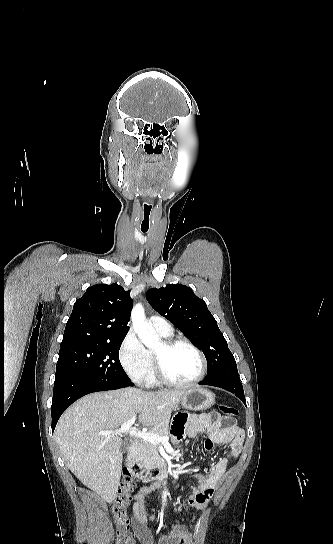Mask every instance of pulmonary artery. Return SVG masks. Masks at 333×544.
Listing matches in <instances>:
<instances>
[{"instance_id":"e3ab8cb5","label":"pulmonary artery","mask_w":333,"mask_h":544,"mask_svg":"<svg viewBox=\"0 0 333 544\" xmlns=\"http://www.w3.org/2000/svg\"><path fill=\"white\" fill-rule=\"evenodd\" d=\"M148 322L159 334L166 336L172 334V328L166 319L160 316H151Z\"/></svg>"}]
</instances>
